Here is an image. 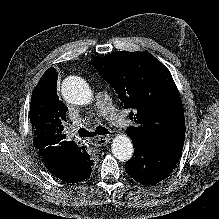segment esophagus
Segmentation results:
<instances>
[{"mask_svg": "<svg viewBox=\"0 0 219 219\" xmlns=\"http://www.w3.org/2000/svg\"><path fill=\"white\" fill-rule=\"evenodd\" d=\"M110 141H111V136H109V135L100 136V137L96 138L95 145L98 147H102V146L107 145Z\"/></svg>", "mask_w": 219, "mask_h": 219, "instance_id": "obj_1", "label": "esophagus"}]
</instances>
